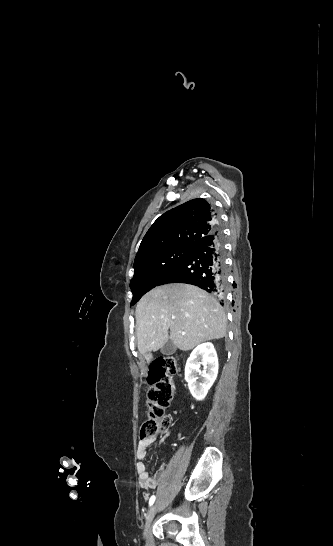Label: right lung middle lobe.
I'll return each mask as SVG.
<instances>
[{
  "mask_svg": "<svg viewBox=\"0 0 333 546\" xmlns=\"http://www.w3.org/2000/svg\"><path fill=\"white\" fill-rule=\"evenodd\" d=\"M192 247H174L161 251L134 265V277L130 281L133 292L131 306L146 292L156 287L161 279L183 261Z\"/></svg>",
  "mask_w": 333,
  "mask_h": 546,
  "instance_id": "right-lung-middle-lobe-1",
  "label": "right lung middle lobe"
}]
</instances>
